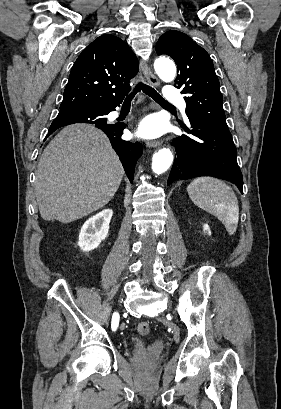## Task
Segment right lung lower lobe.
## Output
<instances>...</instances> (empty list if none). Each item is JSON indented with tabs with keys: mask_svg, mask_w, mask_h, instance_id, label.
<instances>
[{
	"mask_svg": "<svg viewBox=\"0 0 281 409\" xmlns=\"http://www.w3.org/2000/svg\"><path fill=\"white\" fill-rule=\"evenodd\" d=\"M119 106V105H118ZM58 116L61 117H79L88 118L90 124H95L97 128L101 129L110 139L111 145L118 154L125 172L132 182L134 177V168L137 158L141 156L143 148L142 145L131 143L121 139L123 129L126 127L124 123L107 124L106 115L115 110V107L107 108H60ZM55 130H49V134Z\"/></svg>",
	"mask_w": 281,
	"mask_h": 409,
	"instance_id": "obj_1",
	"label": "right lung lower lobe"
}]
</instances>
